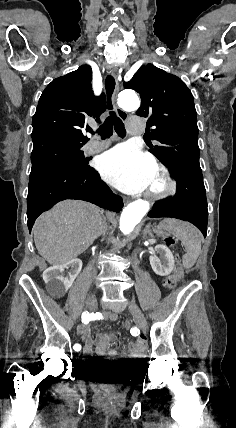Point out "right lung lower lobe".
Listing matches in <instances>:
<instances>
[{
	"instance_id": "1",
	"label": "right lung lower lobe",
	"mask_w": 236,
	"mask_h": 428,
	"mask_svg": "<svg viewBox=\"0 0 236 428\" xmlns=\"http://www.w3.org/2000/svg\"><path fill=\"white\" fill-rule=\"evenodd\" d=\"M65 199L88 201L115 212L123 207L122 198L113 194L89 165L80 169L66 166L51 168L30 174L27 197L29 231L42 212Z\"/></svg>"
}]
</instances>
